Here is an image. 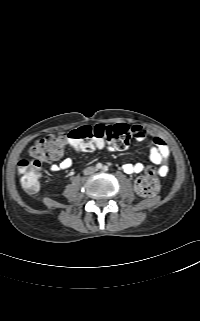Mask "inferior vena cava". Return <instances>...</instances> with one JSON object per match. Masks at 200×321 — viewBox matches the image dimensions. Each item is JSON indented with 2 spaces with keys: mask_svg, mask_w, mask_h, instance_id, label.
I'll use <instances>...</instances> for the list:
<instances>
[{
  "mask_svg": "<svg viewBox=\"0 0 200 321\" xmlns=\"http://www.w3.org/2000/svg\"><path fill=\"white\" fill-rule=\"evenodd\" d=\"M95 171H96V168L91 166V167L85 168L83 172L85 175H90V174L94 173Z\"/></svg>",
  "mask_w": 200,
  "mask_h": 321,
  "instance_id": "inferior-vena-cava-1",
  "label": "inferior vena cava"
}]
</instances>
